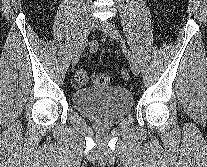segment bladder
Listing matches in <instances>:
<instances>
[{"label": "bladder", "mask_w": 207, "mask_h": 167, "mask_svg": "<svg viewBox=\"0 0 207 167\" xmlns=\"http://www.w3.org/2000/svg\"><path fill=\"white\" fill-rule=\"evenodd\" d=\"M72 101L80 113L98 121L121 119L133 105L131 93L123 86L80 88L73 93Z\"/></svg>", "instance_id": "31cf9c89"}]
</instances>
